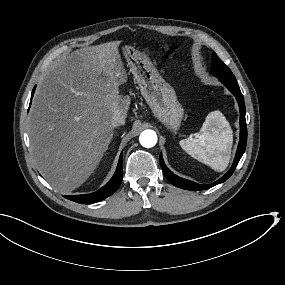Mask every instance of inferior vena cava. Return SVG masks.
I'll list each match as a JSON object with an SVG mask.
<instances>
[{"label":"inferior vena cava","mask_w":285,"mask_h":285,"mask_svg":"<svg viewBox=\"0 0 285 285\" xmlns=\"http://www.w3.org/2000/svg\"><path fill=\"white\" fill-rule=\"evenodd\" d=\"M112 126L116 127L119 125L125 124V117L118 111L114 112L112 120H111Z\"/></svg>","instance_id":"inferior-vena-cava-1"}]
</instances>
